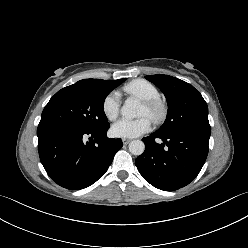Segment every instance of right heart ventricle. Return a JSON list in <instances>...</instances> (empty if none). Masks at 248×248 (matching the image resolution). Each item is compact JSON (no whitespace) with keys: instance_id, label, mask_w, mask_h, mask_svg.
<instances>
[{"instance_id":"1","label":"right heart ventricle","mask_w":248,"mask_h":248,"mask_svg":"<svg viewBox=\"0 0 248 248\" xmlns=\"http://www.w3.org/2000/svg\"><path fill=\"white\" fill-rule=\"evenodd\" d=\"M123 91L142 101L160 99V92L157 87L144 79L130 81L123 87Z\"/></svg>"}]
</instances>
